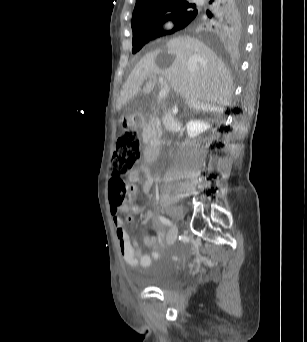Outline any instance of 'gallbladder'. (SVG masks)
Here are the masks:
<instances>
[{
	"mask_svg": "<svg viewBox=\"0 0 307 342\" xmlns=\"http://www.w3.org/2000/svg\"><path fill=\"white\" fill-rule=\"evenodd\" d=\"M175 113L173 114L175 117L178 115L176 112L178 111L176 108L173 110Z\"/></svg>",
	"mask_w": 307,
	"mask_h": 342,
	"instance_id": "1",
	"label": "gallbladder"
}]
</instances>
